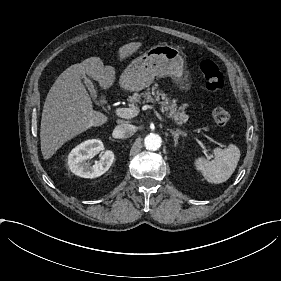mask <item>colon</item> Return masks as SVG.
<instances>
[{"label": "colon", "mask_w": 281, "mask_h": 281, "mask_svg": "<svg viewBox=\"0 0 281 281\" xmlns=\"http://www.w3.org/2000/svg\"><path fill=\"white\" fill-rule=\"evenodd\" d=\"M200 69L208 89L219 90L224 86V75L214 62L210 60L203 61L200 65ZM213 117L216 124L219 126L227 125L230 119L229 113L224 109L215 110Z\"/></svg>", "instance_id": "5ec220e1"}]
</instances>
